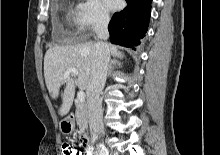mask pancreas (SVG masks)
<instances>
[{
	"instance_id": "cf45deb5",
	"label": "pancreas",
	"mask_w": 220,
	"mask_h": 155,
	"mask_svg": "<svg viewBox=\"0 0 220 155\" xmlns=\"http://www.w3.org/2000/svg\"><path fill=\"white\" fill-rule=\"evenodd\" d=\"M76 122L80 128V133H82L88 126V112L87 105L84 102L76 103Z\"/></svg>"
}]
</instances>
